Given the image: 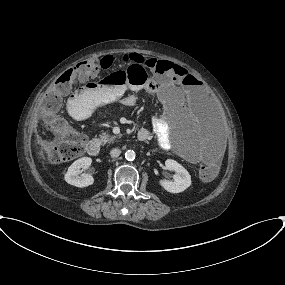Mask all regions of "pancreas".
<instances>
[{"mask_svg":"<svg viewBox=\"0 0 285 285\" xmlns=\"http://www.w3.org/2000/svg\"><path fill=\"white\" fill-rule=\"evenodd\" d=\"M118 137L115 136V135H110L108 133H103L101 136H100V140L102 143L106 144V143H111L113 142L114 140H116Z\"/></svg>","mask_w":285,"mask_h":285,"instance_id":"obj_1","label":"pancreas"}]
</instances>
